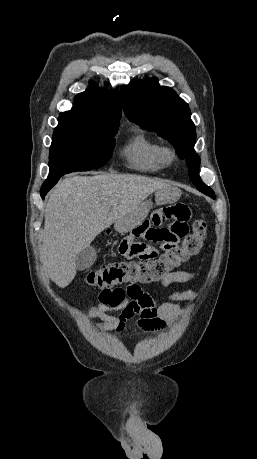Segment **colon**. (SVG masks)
Masks as SVG:
<instances>
[{"label":"colon","mask_w":257,"mask_h":459,"mask_svg":"<svg viewBox=\"0 0 257 459\" xmlns=\"http://www.w3.org/2000/svg\"><path fill=\"white\" fill-rule=\"evenodd\" d=\"M195 236H186L180 251H163L157 261L145 264H119V261L103 265L86 274V282L93 287H107L114 284L152 281L163 275L172 266L196 254L207 237V224L204 219L194 221ZM125 239V238H124Z\"/></svg>","instance_id":"5ec220e1"}]
</instances>
